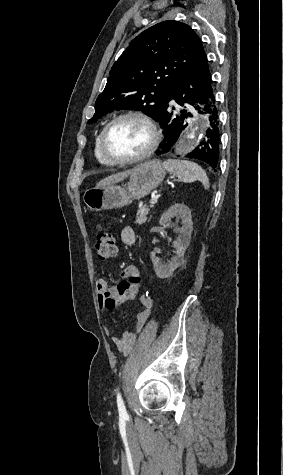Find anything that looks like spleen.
Here are the masks:
<instances>
[{"mask_svg":"<svg viewBox=\"0 0 283 475\" xmlns=\"http://www.w3.org/2000/svg\"><path fill=\"white\" fill-rule=\"evenodd\" d=\"M163 166L167 172L177 176L181 182L185 184H191V182H201L205 190H209V178L202 170L201 166L195 164V162H188V160H166L163 162Z\"/></svg>","mask_w":283,"mask_h":475,"instance_id":"3e777b00","label":"spleen"}]
</instances>
